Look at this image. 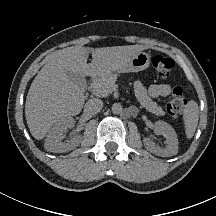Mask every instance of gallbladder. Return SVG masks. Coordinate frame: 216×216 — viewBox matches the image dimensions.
I'll return each mask as SVG.
<instances>
[{
    "mask_svg": "<svg viewBox=\"0 0 216 216\" xmlns=\"http://www.w3.org/2000/svg\"><path fill=\"white\" fill-rule=\"evenodd\" d=\"M66 73H67L68 78L71 81L78 83V84H82L83 78L80 75L73 73V72H70V71H67Z\"/></svg>",
    "mask_w": 216,
    "mask_h": 216,
    "instance_id": "gallbladder-1",
    "label": "gallbladder"
}]
</instances>
